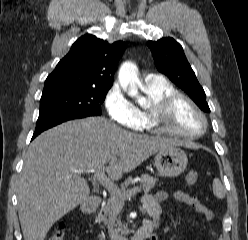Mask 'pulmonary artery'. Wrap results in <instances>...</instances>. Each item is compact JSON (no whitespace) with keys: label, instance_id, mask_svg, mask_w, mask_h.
Returning <instances> with one entry per match:
<instances>
[{"label":"pulmonary artery","instance_id":"1","mask_svg":"<svg viewBox=\"0 0 248 240\" xmlns=\"http://www.w3.org/2000/svg\"><path fill=\"white\" fill-rule=\"evenodd\" d=\"M158 78H161L158 74H155V73H149L147 76H146V80H154V79H158Z\"/></svg>","mask_w":248,"mask_h":240}]
</instances>
